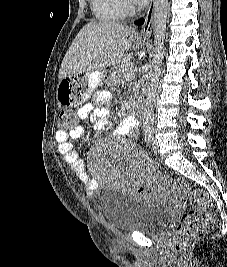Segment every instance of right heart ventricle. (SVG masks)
<instances>
[{
    "label": "right heart ventricle",
    "instance_id": "right-heart-ventricle-1",
    "mask_svg": "<svg viewBox=\"0 0 227 267\" xmlns=\"http://www.w3.org/2000/svg\"><path fill=\"white\" fill-rule=\"evenodd\" d=\"M91 4L95 17L101 22H118L124 17L119 0H91Z\"/></svg>",
    "mask_w": 227,
    "mask_h": 267
}]
</instances>
